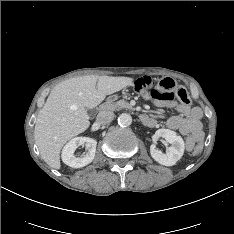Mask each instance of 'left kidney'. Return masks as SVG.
<instances>
[{
  "mask_svg": "<svg viewBox=\"0 0 234 234\" xmlns=\"http://www.w3.org/2000/svg\"><path fill=\"white\" fill-rule=\"evenodd\" d=\"M158 138H164L171 146L166 153H163L156 148L155 144H152L150 147L152 158L165 166L175 165L184 154L185 144L182 137L170 129H158L155 133L154 140Z\"/></svg>",
  "mask_w": 234,
  "mask_h": 234,
  "instance_id": "left-kidney-1",
  "label": "left kidney"
}]
</instances>
